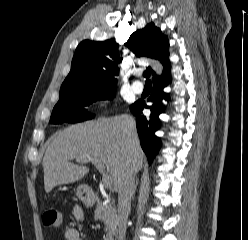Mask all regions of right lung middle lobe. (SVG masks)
<instances>
[{"label":"right lung middle lobe","instance_id":"obj_1","mask_svg":"<svg viewBox=\"0 0 248 240\" xmlns=\"http://www.w3.org/2000/svg\"><path fill=\"white\" fill-rule=\"evenodd\" d=\"M116 89L101 90L95 88L67 89L60 92V99L55 105L50 123L81 122L93 118L84 107L97 100L112 99Z\"/></svg>","mask_w":248,"mask_h":240}]
</instances>
